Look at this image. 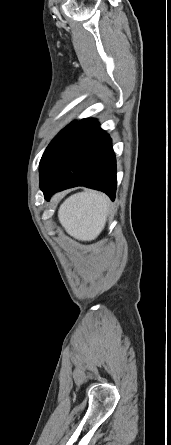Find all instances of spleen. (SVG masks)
Here are the masks:
<instances>
[{"label": "spleen", "instance_id": "obj_1", "mask_svg": "<svg viewBox=\"0 0 171 445\" xmlns=\"http://www.w3.org/2000/svg\"><path fill=\"white\" fill-rule=\"evenodd\" d=\"M109 198L99 192L85 191L67 198L58 210L66 232L82 241H91L104 229L109 212Z\"/></svg>", "mask_w": 171, "mask_h": 445}]
</instances>
